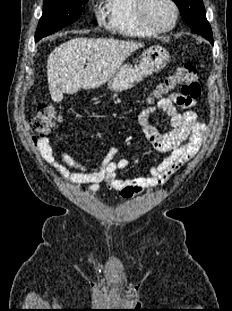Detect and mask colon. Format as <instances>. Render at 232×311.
<instances>
[{
    "mask_svg": "<svg viewBox=\"0 0 232 311\" xmlns=\"http://www.w3.org/2000/svg\"><path fill=\"white\" fill-rule=\"evenodd\" d=\"M181 86V93L193 100L199 98L201 86L197 67L192 63L179 66L174 73L164 79L156 88L155 97ZM62 119L61 113L52 105H41L30 122V128L37 133H46Z\"/></svg>",
    "mask_w": 232,
    "mask_h": 311,
    "instance_id": "colon-1",
    "label": "colon"
}]
</instances>
